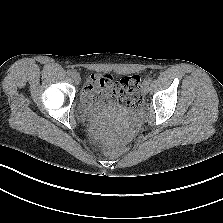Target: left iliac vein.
<instances>
[{
	"label": "left iliac vein",
	"mask_w": 223,
	"mask_h": 223,
	"mask_svg": "<svg viewBox=\"0 0 223 223\" xmlns=\"http://www.w3.org/2000/svg\"><path fill=\"white\" fill-rule=\"evenodd\" d=\"M142 93L143 95H146L149 92V83L144 81L142 84Z\"/></svg>",
	"instance_id": "left-iliac-vein-1"
}]
</instances>
